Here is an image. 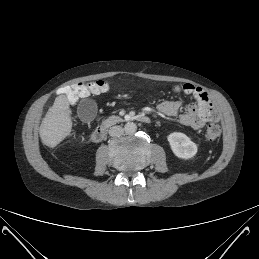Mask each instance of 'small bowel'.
Instances as JSON below:
<instances>
[{
    "label": "small bowel",
    "mask_w": 259,
    "mask_h": 259,
    "mask_svg": "<svg viewBox=\"0 0 259 259\" xmlns=\"http://www.w3.org/2000/svg\"><path fill=\"white\" fill-rule=\"evenodd\" d=\"M197 88V87H195ZM195 97V96H194ZM197 104L191 103L187 106L186 111L179 116V122L193 129L202 128L208 121H216L217 113L212 110V113L207 111V102L195 97ZM182 104L177 100H165L158 104L157 109L164 115L175 116L179 113Z\"/></svg>",
    "instance_id": "1"
}]
</instances>
